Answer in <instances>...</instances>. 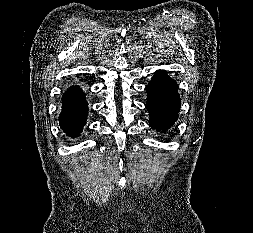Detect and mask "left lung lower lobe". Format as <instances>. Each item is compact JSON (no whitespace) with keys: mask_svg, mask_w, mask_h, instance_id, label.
Wrapping results in <instances>:
<instances>
[{"mask_svg":"<svg viewBox=\"0 0 253 233\" xmlns=\"http://www.w3.org/2000/svg\"><path fill=\"white\" fill-rule=\"evenodd\" d=\"M145 89L150 126L156 130H168L176 121L180 109L177 83L165 71L159 70Z\"/></svg>","mask_w":253,"mask_h":233,"instance_id":"0a47b994","label":"left lung lower lobe"}]
</instances>
